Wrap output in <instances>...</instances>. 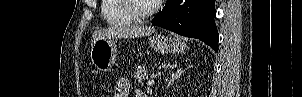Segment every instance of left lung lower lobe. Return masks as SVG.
I'll return each mask as SVG.
<instances>
[{"label":"left lung lower lobe","instance_id":"1","mask_svg":"<svg viewBox=\"0 0 302 97\" xmlns=\"http://www.w3.org/2000/svg\"><path fill=\"white\" fill-rule=\"evenodd\" d=\"M215 15V0H167L151 22L180 35L200 39L218 51Z\"/></svg>","mask_w":302,"mask_h":97}]
</instances>
